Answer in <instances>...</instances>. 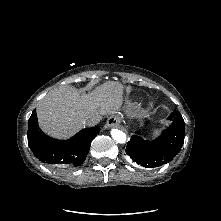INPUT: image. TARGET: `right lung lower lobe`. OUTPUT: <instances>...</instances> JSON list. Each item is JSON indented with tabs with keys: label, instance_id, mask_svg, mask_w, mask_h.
<instances>
[{
	"label": "right lung lower lobe",
	"instance_id": "right-lung-lower-lobe-1",
	"mask_svg": "<svg viewBox=\"0 0 221 221\" xmlns=\"http://www.w3.org/2000/svg\"><path fill=\"white\" fill-rule=\"evenodd\" d=\"M100 128H86L68 140H57L45 135L38 127L36 109L28 121V145L42 162L62 170L81 165L90 148L91 141Z\"/></svg>",
	"mask_w": 221,
	"mask_h": 221
}]
</instances>
